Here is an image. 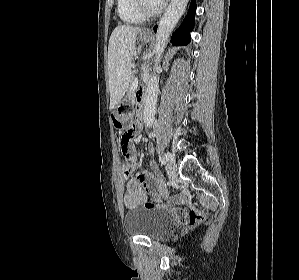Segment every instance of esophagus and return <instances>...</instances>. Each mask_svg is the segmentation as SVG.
Instances as JSON below:
<instances>
[{"mask_svg":"<svg viewBox=\"0 0 299 280\" xmlns=\"http://www.w3.org/2000/svg\"><path fill=\"white\" fill-rule=\"evenodd\" d=\"M146 33H151V30L149 28L145 29Z\"/></svg>","mask_w":299,"mask_h":280,"instance_id":"esophagus-1","label":"esophagus"}]
</instances>
